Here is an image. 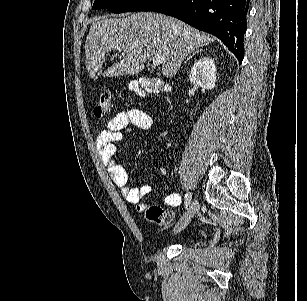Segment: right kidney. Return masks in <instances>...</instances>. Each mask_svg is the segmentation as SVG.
<instances>
[{"label":"right kidney","instance_id":"obj_1","mask_svg":"<svg viewBox=\"0 0 307 301\" xmlns=\"http://www.w3.org/2000/svg\"><path fill=\"white\" fill-rule=\"evenodd\" d=\"M216 78V66L214 58H211V56H203V58L197 60L189 72V80L193 84L208 88V90L216 86Z\"/></svg>","mask_w":307,"mask_h":301}]
</instances>
